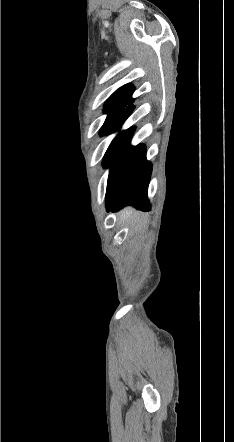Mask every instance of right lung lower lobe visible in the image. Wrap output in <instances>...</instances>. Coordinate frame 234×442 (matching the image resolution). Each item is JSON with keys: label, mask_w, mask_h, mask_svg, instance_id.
<instances>
[{"label": "right lung lower lobe", "mask_w": 234, "mask_h": 442, "mask_svg": "<svg viewBox=\"0 0 234 442\" xmlns=\"http://www.w3.org/2000/svg\"><path fill=\"white\" fill-rule=\"evenodd\" d=\"M133 109L134 106L131 105L118 114L106 134L119 129ZM134 130V127H131L121 132L112 141L104 156L103 166L110 167L106 194L108 211H117L126 205L150 210L147 191L152 165L146 159L144 145H130Z\"/></svg>", "instance_id": "right-lung-lower-lobe-1"}]
</instances>
